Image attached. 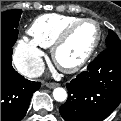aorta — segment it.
I'll return each mask as SVG.
<instances>
[{
  "label": "aorta",
  "mask_w": 121,
  "mask_h": 121,
  "mask_svg": "<svg viewBox=\"0 0 121 121\" xmlns=\"http://www.w3.org/2000/svg\"><path fill=\"white\" fill-rule=\"evenodd\" d=\"M53 97L56 101L63 102L67 99V92L64 88H55L53 91Z\"/></svg>",
  "instance_id": "762f6f07"
}]
</instances>
